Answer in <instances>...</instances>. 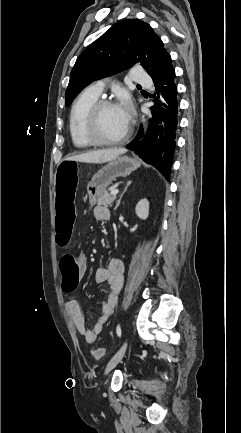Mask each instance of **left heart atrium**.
<instances>
[{
	"label": "left heart atrium",
	"instance_id": "left-heart-atrium-1",
	"mask_svg": "<svg viewBox=\"0 0 241 433\" xmlns=\"http://www.w3.org/2000/svg\"><path fill=\"white\" fill-rule=\"evenodd\" d=\"M118 107H119L125 121L127 123H129L131 116H132V107H131V103L129 102V100L126 98L122 99V101L120 102Z\"/></svg>",
	"mask_w": 241,
	"mask_h": 433
}]
</instances>
